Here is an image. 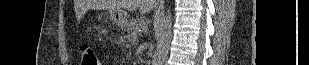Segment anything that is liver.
<instances>
[{"label":"liver","mask_w":309,"mask_h":65,"mask_svg":"<svg viewBox=\"0 0 309 65\" xmlns=\"http://www.w3.org/2000/svg\"><path fill=\"white\" fill-rule=\"evenodd\" d=\"M97 5L103 9L110 10H136L141 13H148L155 5V0H101Z\"/></svg>","instance_id":"6515ba94"}]
</instances>
